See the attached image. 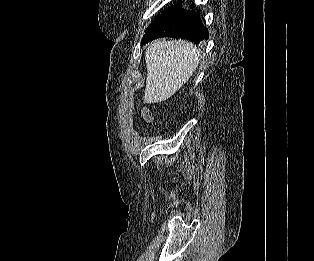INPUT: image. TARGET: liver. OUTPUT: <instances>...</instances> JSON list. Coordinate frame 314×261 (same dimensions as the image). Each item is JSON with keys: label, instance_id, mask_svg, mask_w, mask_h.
Listing matches in <instances>:
<instances>
[{"label": "liver", "instance_id": "6515ba94", "mask_svg": "<svg viewBox=\"0 0 314 261\" xmlns=\"http://www.w3.org/2000/svg\"><path fill=\"white\" fill-rule=\"evenodd\" d=\"M147 80L144 103L170 98L193 75L199 64L197 47L184 40H157L145 53Z\"/></svg>", "mask_w": 314, "mask_h": 261}]
</instances>
